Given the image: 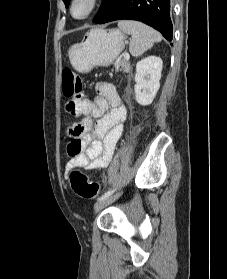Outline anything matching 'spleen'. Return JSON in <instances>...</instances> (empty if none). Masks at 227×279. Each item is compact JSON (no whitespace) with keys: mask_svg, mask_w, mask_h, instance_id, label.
Listing matches in <instances>:
<instances>
[{"mask_svg":"<svg viewBox=\"0 0 227 279\" xmlns=\"http://www.w3.org/2000/svg\"><path fill=\"white\" fill-rule=\"evenodd\" d=\"M118 27L124 33L131 35L129 51L135 57L141 56L155 42L162 40L160 33L137 21H119Z\"/></svg>","mask_w":227,"mask_h":279,"instance_id":"obj_1","label":"spleen"}]
</instances>
